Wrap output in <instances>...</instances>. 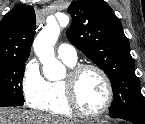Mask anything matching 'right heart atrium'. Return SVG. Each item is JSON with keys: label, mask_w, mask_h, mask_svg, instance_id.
Instances as JSON below:
<instances>
[{"label": "right heart atrium", "mask_w": 145, "mask_h": 124, "mask_svg": "<svg viewBox=\"0 0 145 124\" xmlns=\"http://www.w3.org/2000/svg\"><path fill=\"white\" fill-rule=\"evenodd\" d=\"M45 87L46 80L40 73L38 63L34 59L29 60L22 78V91L27 103L37 108L44 98Z\"/></svg>", "instance_id": "1"}]
</instances>
